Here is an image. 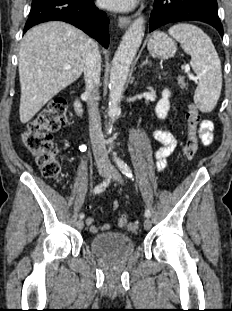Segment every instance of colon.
I'll return each mask as SVG.
<instances>
[{"label": "colon", "instance_id": "obj_1", "mask_svg": "<svg viewBox=\"0 0 232 311\" xmlns=\"http://www.w3.org/2000/svg\"><path fill=\"white\" fill-rule=\"evenodd\" d=\"M67 122L66 100L62 97H56L40 110L22 133L23 144L41 167L43 175L57 181L62 179V173L61 164L57 158L58 149L52 133L58 131ZM186 122L188 126L187 139L182 154L186 160H191L195 156L199 145L198 126L200 115L194 105H190L187 110ZM117 222L130 232L139 230L136 222H129L124 217H119Z\"/></svg>", "mask_w": 232, "mask_h": 311}]
</instances>
